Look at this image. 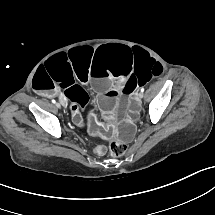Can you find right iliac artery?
Returning <instances> with one entry per match:
<instances>
[{
  "mask_svg": "<svg viewBox=\"0 0 215 215\" xmlns=\"http://www.w3.org/2000/svg\"><path fill=\"white\" fill-rule=\"evenodd\" d=\"M52 103H56V101H55V100H52Z\"/></svg>",
  "mask_w": 215,
  "mask_h": 215,
  "instance_id": "1",
  "label": "right iliac artery"
}]
</instances>
